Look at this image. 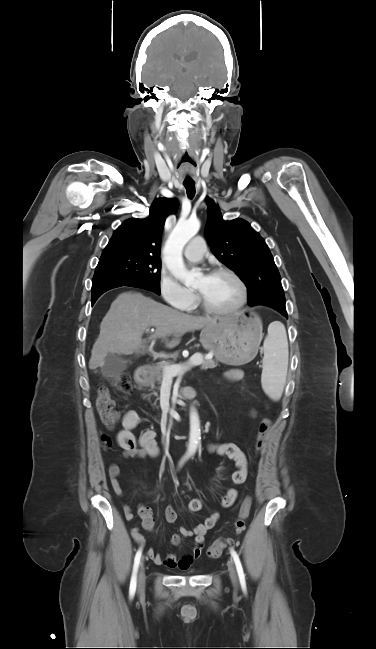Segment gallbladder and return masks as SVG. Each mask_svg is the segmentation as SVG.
<instances>
[{
	"label": "gallbladder",
	"mask_w": 376,
	"mask_h": 649,
	"mask_svg": "<svg viewBox=\"0 0 376 649\" xmlns=\"http://www.w3.org/2000/svg\"><path fill=\"white\" fill-rule=\"evenodd\" d=\"M128 362L129 360L122 355L108 353L100 371L104 377L113 378L127 368Z\"/></svg>",
	"instance_id": "1"
}]
</instances>
